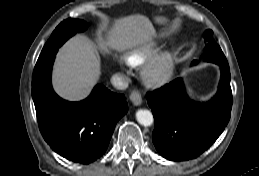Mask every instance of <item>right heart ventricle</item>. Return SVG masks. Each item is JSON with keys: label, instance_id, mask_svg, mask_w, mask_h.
Returning <instances> with one entry per match:
<instances>
[{"label": "right heart ventricle", "instance_id": "right-heart-ventricle-1", "mask_svg": "<svg viewBox=\"0 0 259 176\" xmlns=\"http://www.w3.org/2000/svg\"><path fill=\"white\" fill-rule=\"evenodd\" d=\"M154 56V50L153 49H134L130 51L126 57L125 61L126 63L134 68H140L145 66L149 63V61Z\"/></svg>", "mask_w": 259, "mask_h": 176}]
</instances>
